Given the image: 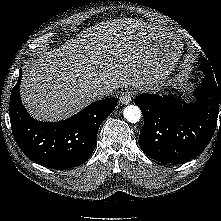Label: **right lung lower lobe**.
Segmentation results:
<instances>
[{"instance_id":"1","label":"right lung lower lobe","mask_w":221,"mask_h":221,"mask_svg":"<svg viewBox=\"0 0 221 221\" xmlns=\"http://www.w3.org/2000/svg\"><path fill=\"white\" fill-rule=\"evenodd\" d=\"M21 75L20 71L9 104L11 129L20 149L32 161L54 169L83 164L96 146L100 124L113 112L118 99L94 102L64 121L41 122L33 119L22 105Z\"/></svg>"}]
</instances>
